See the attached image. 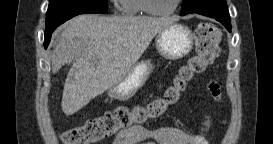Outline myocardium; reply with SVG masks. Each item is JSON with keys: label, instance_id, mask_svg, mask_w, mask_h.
<instances>
[{"label": "myocardium", "instance_id": "obj_1", "mask_svg": "<svg viewBox=\"0 0 273 144\" xmlns=\"http://www.w3.org/2000/svg\"><path fill=\"white\" fill-rule=\"evenodd\" d=\"M152 0H142V10L146 13L154 16H166L174 13L179 7L181 0H175V3L172 8L169 10H156L151 6Z\"/></svg>", "mask_w": 273, "mask_h": 144}]
</instances>
